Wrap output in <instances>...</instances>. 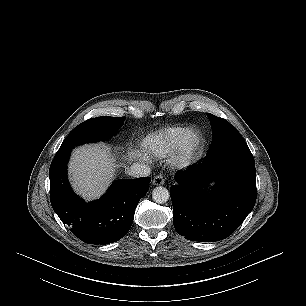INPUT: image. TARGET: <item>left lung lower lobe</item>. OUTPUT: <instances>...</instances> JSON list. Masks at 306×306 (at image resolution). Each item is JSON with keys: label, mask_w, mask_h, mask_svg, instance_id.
<instances>
[{"label": "left lung lower lobe", "mask_w": 306, "mask_h": 306, "mask_svg": "<svg viewBox=\"0 0 306 306\" xmlns=\"http://www.w3.org/2000/svg\"><path fill=\"white\" fill-rule=\"evenodd\" d=\"M216 181L212 194L204 190ZM171 187L173 224L191 241L212 242L230 236L256 202L255 162L249 147L224 149L175 175Z\"/></svg>", "instance_id": "0a47b994"}]
</instances>
